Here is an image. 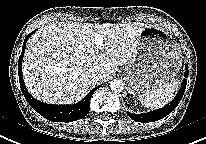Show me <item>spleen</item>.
Segmentation results:
<instances>
[{
  "label": "spleen",
  "mask_w": 206,
  "mask_h": 144,
  "mask_svg": "<svg viewBox=\"0 0 206 144\" xmlns=\"http://www.w3.org/2000/svg\"><path fill=\"white\" fill-rule=\"evenodd\" d=\"M179 88V80L171 78L160 88L146 92L139 96L142 105L150 109H158L168 104Z\"/></svg>",
  "instance_id": "spleen-1"
}]
</instances>
